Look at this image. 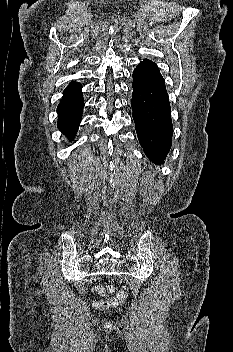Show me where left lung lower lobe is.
<instances>
[{
  "label": "left lung lower lobe",
  "mask_w": 233,
  "mask_h": 352,
  "mask_svg": "<svg viewBox=\"0 0 233 352\" xmlns=\"http://www.w3.org/2000/svg\"><path fill=\"white\" fill-rule=\"evenodd\" d=\"M132 115L146 155L163 163L172 144L171 108L161 73L144 61L133 71Z\"/></svg>",
  "instance_id": "left-lung-lower-lobe-1"
}]
</instances>
